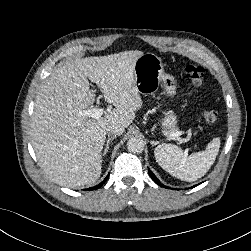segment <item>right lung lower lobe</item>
<instances>
[{"label":"right lung lower lobe","mask_w":251,"mask_h":251,"mask_svg":"<svg viewBox=\"0 0 251 251\" xmlns=\"http://www.w3.org/2000/svg\"><path fill=\"white\" fill-rule=\"evenodd\" d=\"M108 176L100 184H98L97 186L89 188V190H95V189H98L99 187H101L106 182Z\"/></svg>","instance_id":"obj_1"}]
</instances>
